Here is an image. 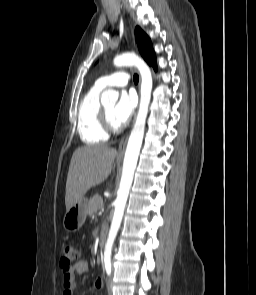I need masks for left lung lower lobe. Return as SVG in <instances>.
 <instances>
[{
  "label": "left lung lower lobe",
  "mask_w": 256,
  "mask_h": 295,
  "mask_svg": "<svg viewBox=\"0 0 256 295\" xmlns=\"http://www.w3.org/2000/svg\"><path fill=\"white\" fill-rule=\"evenodd\" d=\"M154 69L156 70V65H153Z\"/></svg>",
  "instance_id": "1"
}]
</instances>
